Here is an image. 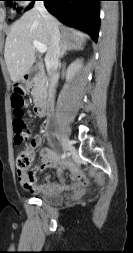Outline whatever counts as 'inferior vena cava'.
<instances>
[{"label": "inferior vena cava", "mask_w": 133, "mask_h": 253, "mask_svg": "<svg viewBox=\"0 0 133 253\" xmlns=\"http://www.w3.org/2000/svg\"><path fill=\"white\" fill-rule=\"evenodd\" d=\"M34 8L39 11L42 18L45 20L50 37V48L46 54L45 62L48 67V72L50 75L48 101L50 103L51 108L53 109L55 87L59 79L57 67L59 64V57H60V32L55 19L48 13V11L44 6L43 1H36Z\"/></svg>", "instance_id": "602c4592"}]
</instances>
